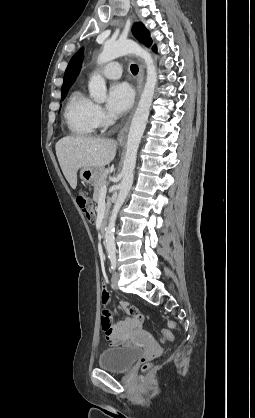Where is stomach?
Wrapping results in <instances>:
<instances>
[{
  "label": "stomach",
  "instance_id": "stomach-1",
  "mask_svg": "<svg viewBox=\"0 0 255 418\" xmlns=\"http://www.w3.org/2000/svg\"><path fill=\"white\" fill-rule=\"evenodd\" d=\"M102 171L103 169L97 167L81 168L80 178L84 183L94 184L100 176V174L102 173Z\"/></svg>",
  "mask_w": 255,
  "mask_h": 418
}]
</instances>
